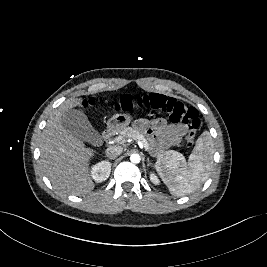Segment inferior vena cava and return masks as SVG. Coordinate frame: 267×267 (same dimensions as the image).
I'll return each mask as SVG.
<instances>
[{
  "label": "inferior vena cava",
  "instance_id": "1",
  "mask_svg": "<svg viewBox=\"0 0 267 267\" xmlns=\"http://www.w3.org/2000/svg\"><path fill=\"white\" fill-rule=\"evenodd\" d=\"M123 152V148L121 146H109L106 149V155L109 159L117 158Z\"/></svg>",
  "mask_w": 267,
  "mask_h": 267
}]
</instances>
